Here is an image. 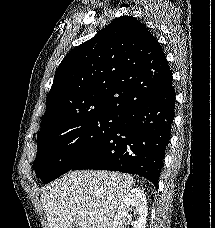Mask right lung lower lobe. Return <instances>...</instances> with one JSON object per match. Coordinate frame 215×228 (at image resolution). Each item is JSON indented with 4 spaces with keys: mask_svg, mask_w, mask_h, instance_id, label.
<instances>
[{
    "mask_svg": "<svg viewBox=\"0 0 215 228\" xmlns=\"http://www.w3.org/2000/svg\"><path fill=\"white\" fill-rule=\"evenodd\" d=\"M172 76L158 95L127 109L101 142L71 170L96 169L137 174L158 188L174 119Z\"/></svg>",
    "mask_w": 215,
    "mask_h": 228,
    "instance_id": "right-lung-lower-lobe-1",
    "label": "right lung lower lobe"
}]
</instances>
